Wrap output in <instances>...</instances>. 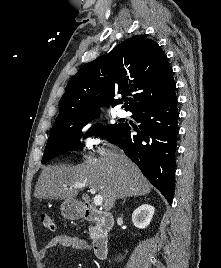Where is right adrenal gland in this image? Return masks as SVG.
<instances>
[{"mask_svg":"<svg viewBox=\"0 0 221 268\" xmlns=\"http://www.w3.org/2000/svg\"><path fill=\"white\" fill-rule=\"evenodd\" d=\"M125 201H126V199H124V201H123V203H122V204H124V203H125Z\"/></svg>","mask_w":221,"mask_h":268,"instance_id":"right-adrenal-gland-1","label":"right adrenal gland"}]
</instances>
